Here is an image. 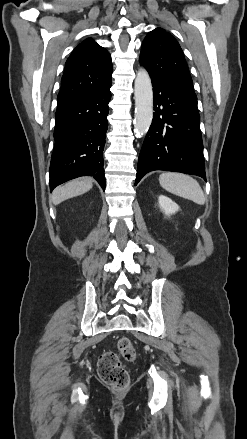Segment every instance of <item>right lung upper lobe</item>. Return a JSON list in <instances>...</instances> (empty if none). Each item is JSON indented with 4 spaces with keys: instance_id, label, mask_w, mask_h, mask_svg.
I'll return each instance as SVG.
<instances>
[{
    "instance_id": "obj_1",
    "label": "right lung upper lobe",
    "mask_w": 247,
    "mask_h": 439,
    "mask_svg": "<svg viewBox=\"0 0 247 439\" xmlns=\"http://www.w3.org/2000/svg\"><path fill=\"white\" fill-rule=\"evenodd\" d=\"M111 56L92 39L80 43L66 61L58 105L111 85Z\"/></svg>"
}]
</instances>
